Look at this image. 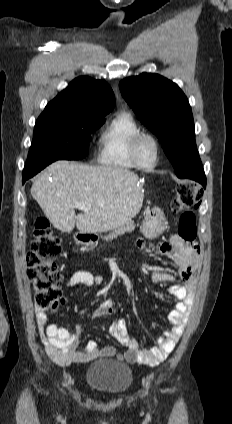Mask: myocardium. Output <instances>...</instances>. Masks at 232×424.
Returning a JSON list of instances; mask_svg holds the SVG:
<instances>
[{
	"mask_svg": "<svg viewBox=\"0 0 232 424\" xmlns=\"http://www.w3.org/2000/svg\"><path fill=\"white\" fill-rule=\"evenodd\" d=\"M144 138L151 139L153 141L154 145H155V150H156L154 162L149 166L142 165L139 162V160L137 158V153H136L137 146H138L139 142ZM160 152H161L160 142H159L158 138L150 132L141 131L140 133H138L137 135L134 136V138L132 139L131 144H130L131 160L134 163L135 167L138 168V169H141V170H151V169L155 168L157 166L158 162H159V159H160Z\"/></svg>",
	"mask_w": 232,
	"mask_h": 424,
	"instance_id": "1",
	"label": "myocardium"
}]
</instances>
